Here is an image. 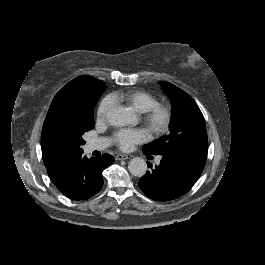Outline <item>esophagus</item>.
<instances>
[{"instance_id": "esophagus-1", "label": "esophagus", "mask_w": 265, "mask_h": 265, "mask_svg": "<svg viewBox=\"0 0 265 265\" xmlns=\"http://www.w3.org/2000/svg\"><path fill=\"white\" fill-rule=\"evenodd\" d=\"M131 157H132V155H130V154H118L115 156V159L116 160H125V159H129Z\"/></svg>"}]
</instances>
